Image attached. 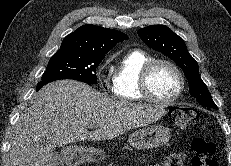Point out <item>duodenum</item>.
I'll return each instance as SVG.
<instances>
[{"instance_id":"obj_1","label":"duodenum","mask_w":231,"mask_h":166,"mask_svg":"<svg viewBox=\"0 0 231 166\" xmlns=\"http://www.w3.org/2000/svg\"><path fill=\"white\" fill-rule=\"evenodd\" d=\"M63 156L65 160H70L73 158V154L71 152H65Z\"/></svg>"}]
</instances>
